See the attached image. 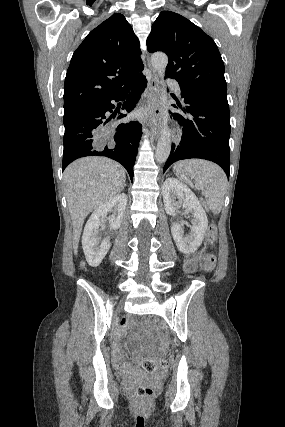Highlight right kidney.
I'll return each instance as SVG.
<instances>
[{
  "label": "right kidney",
  "mask_w": 285,
  "mask_h": 427,
  "mask_svg": "<svg viewBox=\"0 0 285 427\" xmlns=\"http://www.w3.org/2000/svg\"><path fill=\"white\" fill-rule=\"evenodd\" d=\"M126 205V194H118L98 207L87 221L82 236V246L86 260L90 266H99L111 246L109 238L102 240L101 244L98 245L100 242L97 238L99 227L104 224L107 214L110 212L112 213L109 217L110 228L112 230L120 228Z\"/></svg>",
  "instance_id": "obj_1"
}]
</instances>
